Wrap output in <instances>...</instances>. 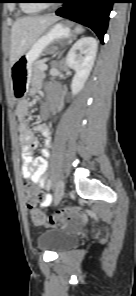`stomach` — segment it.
I'll return each mask as SVG.
<instances>
[{
  "label": "stomach",
  "mask_w": 136,
  "mask_h": 296,
  "mask_svg": "<svg viewBox=\"0 0 136 296\" xmlns=\"http://www.w3.org/2000/svg\"><path fill=\"white\" fill-rule=\"evenodd\" d=\"M69 27L58 23L53 25L44 35L35 41V43L26 51L13 65L12 74L14 84H28L33 73L36 61L46 50V48L55 41H62V37H70ZM14 98H25L26 90H30V85H13Z\"/></svg>",
  "instance_id": "obj_1"
}]
</instances>
